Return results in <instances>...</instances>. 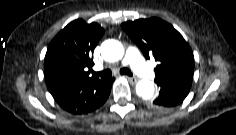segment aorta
<instances>
[{
    "instance_id": "aorta-1",
    "label": "aorta",
    "mask_w": 236,
    "mask_h": 135,
    "mask_svg": "<svg viewBox=\"0 0 236 135\" xmlns=\"http://www.w3.org/2000/svg\"><path fill=\"white\" fill-rule=\"evenodd\" d=\"M101 54L104 60L115 62L122 59L124 55V47L117 40H106L101 45ZM136 93L143 99H151L154 95L153 82L148 79H142L136 84Z\"/></svg>"
}]
</instances>
